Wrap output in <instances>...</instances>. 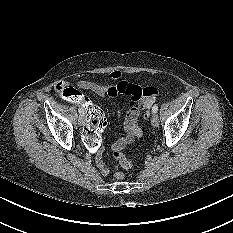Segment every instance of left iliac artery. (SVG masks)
<instances>
[{
    "label": "left iliac artery",
    "mask_w": 233,
    "mask_h": 233,
    "mask_svg": "<svg viewBox=\"0 0 233 233\" xmlns=\"http://www.w3.org/2000/svg\"><path fill=\"white\" fill-rule=\"evenodd\" d=\"M158 110V106L157 105H154L153 108H152V112L153 113H156Z\"/></svg>",
    "instance_id": "left-iliac-artery-1"
}]
</instances>
